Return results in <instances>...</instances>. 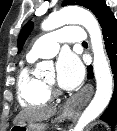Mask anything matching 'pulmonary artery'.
<instances>
[{
	"mask_svg": "<svg viewBox=\"0 0 117 131\" xmlns=\"http://www.w3.org/2000/svg\"><path fill=\"white\" fill-rule=\"evenodd\" d=\"M87 35L79 26H67L38 38L27 54V58H50L57 54L59 44L63 42L82 43L86 41Z\"/></svg>",
	"mask_w": 117,
	"mask_h": 131,
	"instance_id": "obj_1",
	"label": "pulmonary artery"
}]
</instances>
